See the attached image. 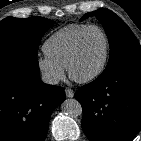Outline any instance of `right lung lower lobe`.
<instances>
[{
  "label": "right lung lower lobe",
  "instance_id": "98d812e1",
  "mask_svg": "<svg viewBox=\"0 0 141 141\" xmlns=\"http://www.w3.org/2000/svg\"><path fill=\"white\" fill-rule=\"evenodd\" d=\"M65 100L62 87L40 79L38 60H0V141H44L53 110Z\"/></svg>",
  "mask_w": 141,
  "mask_h": 141
}]
</instances>
